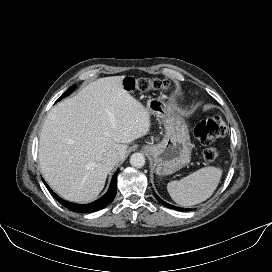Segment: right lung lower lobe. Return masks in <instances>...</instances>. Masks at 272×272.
Segmentation results:
<instances>
[{
    "mask_svg": "<svg viewBox=\"0 0 272 272\" xmlns=\"http://www.w3.org/2000/svg\"><path fill=\"white\" fill-rule=\"evenodd\" d=\"M117 173L118 172H116L112 178L108 192L104 196H102L100 199L96 200L95 202L89 203V204H76V203L67 202V201L61 199L55 193H53L52 190L50 189V187L45 182H44V184L46 185L48 190L50 192H52V195L63 206H65L69 210L74 211V212H80V213H90V212H94V211L104 208L105 206H107L108 204H110L113 201V199L116 196Z\"/></svg>",
    "mask_w": 272,
    "mask_h": 272,
    "instance_id": "1",
    "label": "right lung lower lobe"
}]
</instances>
